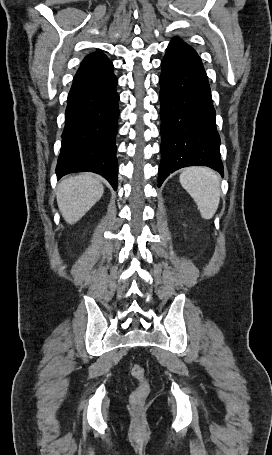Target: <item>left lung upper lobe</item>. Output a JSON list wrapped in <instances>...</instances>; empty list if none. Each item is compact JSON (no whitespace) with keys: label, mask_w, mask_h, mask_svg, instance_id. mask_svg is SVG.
Here are the masks:
<instances>
[{"label":"left lung upper lobe","mask_w":272,"mask_h":455,"mask_svg":"<svg viewBox=\"0 0 272 455\" xmlns=\"http://www.w3.org/2000/svg\"><path fill=\"white\" fill-rule=\"evenodd\" d=\"M188 57H199L197 52L182 39L174 37L168 45L164 58L183 59Z\"/></svg>","instance_id":"left-lung-upper-lobe-1"}]
</instances>
